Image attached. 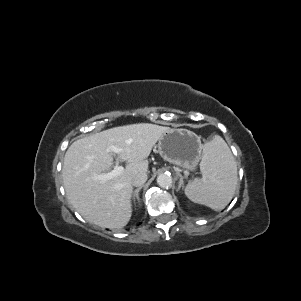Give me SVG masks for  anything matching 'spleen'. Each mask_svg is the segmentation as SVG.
I'll return each instance as SVG.
<instances>
[{
    "instance_id": "1",
    "label": "spleen",
    "mask_w": 301,
    "mask_h": 301,
    "mask_svg": "<svg viewBox=\"0 0 301 301\" xmlns=\"http://www.w3.org/2000/svg\"><path fill=\"white\" fill-rule=\"evenodd\" d=\"M200 170L202 178L189 183L185 195L213 210L224 209L234 196L238 178L235 159L220 136L204 145Z\"/></svg>"
}]
</instances>
